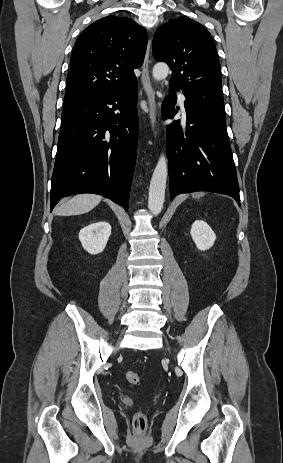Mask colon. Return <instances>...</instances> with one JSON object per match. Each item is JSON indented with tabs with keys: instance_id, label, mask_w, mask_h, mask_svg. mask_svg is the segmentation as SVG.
Masks as SVG:
<instances>
[{
	"instance_id": "5ec220e1",
	"label": "colon",
	"mask_w": 283,
	"mask_h": 463,
	"mask_svg": "<svg viewBox=\"0 0 283 463\" xmlns=\"http://www.w3.org/2000/svg\"><path fill=\"white\" fill-rule=\"evenodd\" d=\"M125 376L130 384H138L140 381L139 375L134 371H127ZM145 424L146 418L144 414L141 412L136 413L134 416V427L138 436H141L143 434Z\"/></svg>"
}]
</instances>
